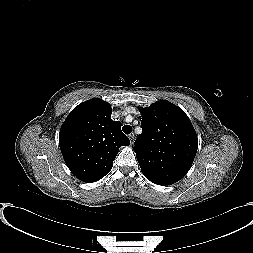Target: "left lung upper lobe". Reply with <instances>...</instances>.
<instances>
[{"label":"left lung upper lobe","instance_id":"left-lung-upper-lobe-1","mask_svg":"<svg viewBox=\"0 0 253 253\" xmlns=\"http://www.w3.org/2000/svg\"><path fill=\"white\" fill-rule=\"evenodd\" d=\"M142 133L134 151L144 176L158 185L182 179L195 158L198 139L185 112L166 100L142 109Z\"/></svg>","mask_w":253,"mask_h":253}]
</instances>
